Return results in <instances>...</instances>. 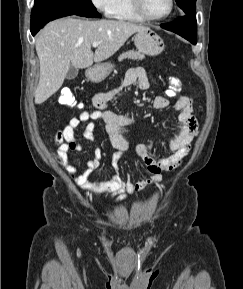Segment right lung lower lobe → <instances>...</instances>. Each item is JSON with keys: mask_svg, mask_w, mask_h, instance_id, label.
<instances>
[{"mask_svg": "<svg viewBox=\"0 0 243 289\" xmlns=\"http://www.w3.org/2000/svg\"><path fill=\"white\" fill-rule=\"evenodd\" d=\"M78 15L89 18H100L101 15L96 9L81 8L75 6H59L56 4L34 3L31 14V34L34 36L36 33L49 21L54 19Z\"/></svg>", "mask_w": 243, "mask_h": 289, "instance_id": "98d812e1", "label": "right lung lower lobe"}]
</instances>
